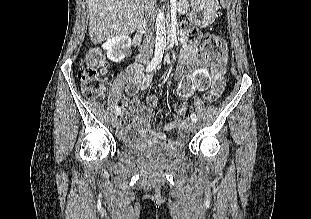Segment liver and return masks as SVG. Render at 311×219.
Returning <instances> with one entry per match:
<instances>
[{
	"instance_id": "1",
	"label": "liver",
	"mask_w": 311,
	"mask_h": 219,
	"mask_svg": "<svg viewBox=\"0 0 311 219\" xmlns=\"http://www.w3.org/2000/svg\"><path fill=\"white\" fill-rule=\"evenodd\" d=\"M89 35L94 44L128 35L140 25L144 0H87Z\"/></svg>"
}]
</instances>
